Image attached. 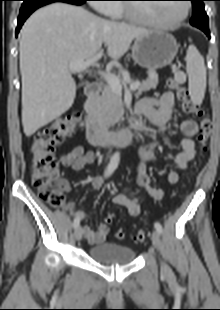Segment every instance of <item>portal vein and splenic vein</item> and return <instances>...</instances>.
Listing matches in <instances>:
<instances>
[{
	"mask_svg": "<svg viewBox=\"0 0 220 310\" xmlns=\"http://www.w3.org/2000/svg\"><path fill=\"white\" fill-rule=\"evenodd\" d=\"M103 55V51H99L94 57L87 59L86 61H75L70 63L69 70L75 73L82 72L88 69L91 65H94ZM99 74L104 77L107 81L109 87L116 93L121 94L122 85L120 83V79L116 77L114 74L100 72ZM140 83L139 81L133 82L130 84V90L135 91L138 89Z\"/></svg>",
	"mask_w": 220,
	"mask_h": 310,
	"instance_id": "18ae733b",
	"label": "portal vein and splenic vein"
}]
</instances>
